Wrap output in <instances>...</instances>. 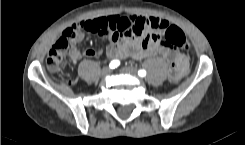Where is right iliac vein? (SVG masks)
<instances>
[{
	"label": "right iliac vein",
	"instance_id": "obj_1",
	"mask_svg": "<svg viewBox=\"0 0 245 145\" xmlns=\"http://www.w3.org/2000/svg\"><path fill=\"white\" fill-rule=\"evenodd\" d=\"M110 72H111V69H110V68L104 67V68L102 69V71H101V76H102V77H106V76H108V75L110 74Z\"/></svg>",
	"mask_w": 245,
	"mask_h": 145
}]
</instances>
